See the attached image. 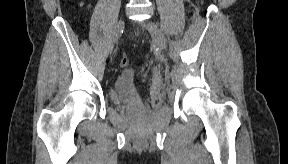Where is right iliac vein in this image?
<instances>
[{"label":"right iliac vein","instance_id":"1","mask_svg":"<svg viewBox=\"0 0 288 164\" xmlns=\"http://www.w3.org/2000/svg\"><path fill=\"white\" fill-rule=\"evenodd\" d=\"M123 28H124V23H123V21L120 19V20L116 23V25H115V27H114V29H113V32H112V38H111V43H110V52H112L114 45H115L116 42L118 41V39H119V37H120V35H121V32H122Z\"/></svg>","mask_w":288,"mask_h":164}]
</instances>
